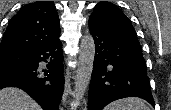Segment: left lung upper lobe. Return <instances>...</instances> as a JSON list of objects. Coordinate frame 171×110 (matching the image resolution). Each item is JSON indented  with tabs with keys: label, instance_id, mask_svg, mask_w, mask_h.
I'll return each mask as SVG.
<instances>
[{
	"label": "left lung upper lobe",
	"instance_id": "obj_1",
	"mask_svg": "<svg viewBox=\"0 0 171 110\" xmlns=\"http://www.w3.org/2000/svg\"><path fill=\"white\" fill-rule=\"evenodd\" d=\"M110 34L141 47L131 21L114 4L101 1L94 7L90 18Z\"/></svg>",
	"mask_w": 171,
	"mask_h": 110
}]
</instances>
